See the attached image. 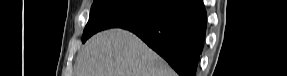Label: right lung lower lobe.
<instances>
[{"label":"right lung lower lobe","instance_id":"right-lung-lower-lobe-1","mask_svg":"<svg viewBox=\"0 0 287 76\" xmlns=\"http://www.w3.org/2000/svg\"><path fill=\"white\" fill-rule=\"evenodd\" d=\"M206 22L202 0H171L150 21L127 30L162 56L179 76H195Z\"/></svg>","mask_w":287,"mask_h":76}]
</instances>
